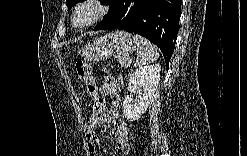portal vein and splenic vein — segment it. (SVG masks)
<instances>
[{
	"instance_id": "18ae733b",
	"label": "portal vein and splenic vein",
	"mask_w": 247,
	"mask_h": 156,
	"mask_svg": "<svg viewBox=\"0 0 247 156\" xmlns=\"http://www.w3.org/2000/svg\"><path fill=\"white\" fill-rule=\"evenodd\" d=\"M131 63V59L128 60V64H127V67L129 66V64Z\"/></svg>"
}]
</instances>
